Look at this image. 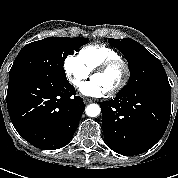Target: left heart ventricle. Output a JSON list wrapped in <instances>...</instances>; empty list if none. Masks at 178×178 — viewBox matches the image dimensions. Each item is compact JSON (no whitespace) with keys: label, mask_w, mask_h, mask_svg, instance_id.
I'll list each match as a JSON object with an SVG mask.
<instances>
[{"label":"left heart ventricle","mask_w":178,"mask_h":178,"mask_svg":"<svg viewBox=\"0 0 178 178\" xmlns=\"http://www.w3.org/2000/svg\"><path fill=\"white\" fill-rule=\"evenodd\" d=\"M122 77L123 68L116 66L104 73L94 75L93 80L98 81L106 88L107 92H109L120 83Z\"/></svg>","instance_id":"b2bd125f"}]
</instances>
